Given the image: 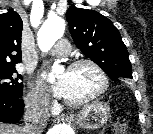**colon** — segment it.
<instances>
[{
	"mask_svg": "<svg viewBox=\"0 0 153 134\" xmlns=\"http://www.w3.org/2000/svg\"><path fill=\"white\" fill-rule=\"evenodd\" d=\"M123 126L121 124H112L104 128L101 134H120Z\"/></svg>",
	"mask_w": 153,
	"mask_h": 134,
	"instance_id": "1",
	"label": "colon"
}]
</instances>
